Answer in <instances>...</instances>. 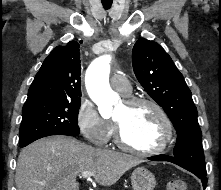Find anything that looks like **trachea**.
Listing matches in <instances>:
<instances>
[{
    "mask_svg": "<svg viewBox=\"0 0 221 190\" xmlns=\"http://www.w3.org/2000/svg\"><path fill=\"white\" fill-rule=\"evenodd\" d=\"M102 5L106 10H108V9H110V7L112 5V1H110V2L102 1Z\"/></svg>",
    "mask_w": 221,
    "mask_h": 190,
    "instance_id": "obj_1",
    "label": "trachea"
}]
</instances>
